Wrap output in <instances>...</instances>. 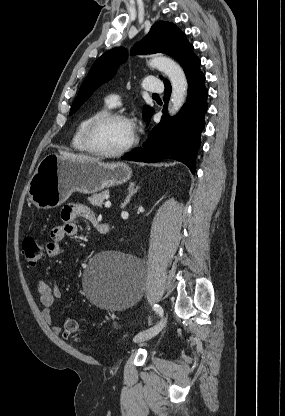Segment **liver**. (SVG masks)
<instances>
[{
	"label": "liver",
	"instance_id": "1",
	"mask_svg": "<svg viewBox=\"0 0 285 416\" xmlns=\"http://www.w3.org/2000/svg\"><path fill=\"white\" fill-rule=\"evenodd\" d=\"M59 154L67 160H89V162H98L99 160V158H91V156H85V154H69V152H62V150H59Z\"/></svg>",
	"mask_w": 285,
	"mask_h": 416
}]
</instances>
